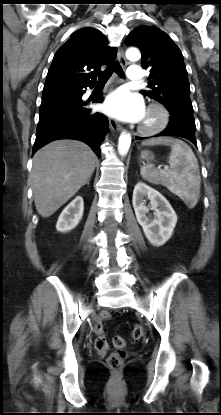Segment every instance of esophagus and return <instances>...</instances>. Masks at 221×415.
Here are the masks:
<instances>
[{"mask_svg":"<svg viewBox=\"0 0 221 415\" xmlns=\"http://www.w3.org/2000/svg\"><path fill=\"white\" fill-rule=\"evenodd\" d=\"M118 60L121 63V65H123V66L127 65V60L125 58L124 50L122 48H120L119 51H118ZM109 125H110V128L112 129V131H114V132L122 131V126L113 119L109 120Z\"/></svg>","mask_w":221,"mask_h":415,"instance_id":"esophagus-1","label":"esophagus"}]
</instances>
